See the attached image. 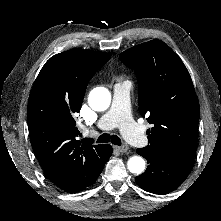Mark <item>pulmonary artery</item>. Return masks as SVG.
<instances>
[{
  "mask_svg": "<svg viewBox=\"0 0 221 221\" xmlns=\"http://www.w3.org/2000/svg\"><path fill=\"white\" fill-rule=\"evenodd\" d=\"M131 87L132 84L129 81L117 82L114 85L111 107L99 118L97 126L102 130L118 127L132 145L145 147L148 144V139L130 114L129 97Z\"/></svg>",
  "mask_w": 221,
  "mask_h": 221,
  "instance_id": "e3ab8cb5",
  "label": "pulmonary artery"
}]
</instances>
